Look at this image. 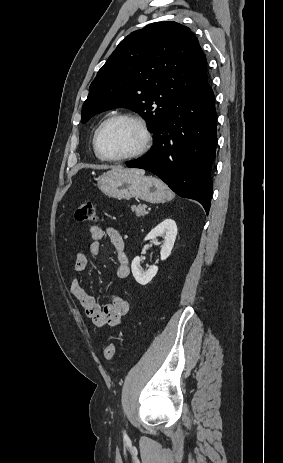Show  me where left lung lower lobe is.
Returning a JSON list of instances; mask_svg holds the SVG:
<instances>
[{
  "mask_svg": "<svg viewBox=\"0 0 283 463\" xmlns=\"http://www.w3.org/2000/svg\"><path fill=\"white\" fill-rule=\"evenodd\" d=\"M216 126L214 93L207 80L183 97L155 130L152 151L127 166L152 172L179 196L200 202L208 214Z\"/></svg>",
  "mask_w": 283,
  "mask_h": 463,
  "instance_id": "1",
  "label": "left lung lower lobe"
}]
</instances>
